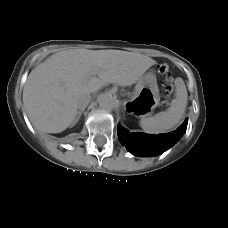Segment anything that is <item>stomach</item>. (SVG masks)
<instances>
[{"label":"stomach","instance_id":"0dacf381","mask_svg":"<svg viewBox=\"0 0 228 228\" xmlns=\"http://www.w3.org/2000/svg\"><path fill=\"white\" fill-rule=\"evenodd\" d=\"M133 101L139 106V114L148 116L159 102V89L156 76L149 72L141 76L132 94Z\"/></svg>","mask_w":228,"mask_h":228}]
</instances>
